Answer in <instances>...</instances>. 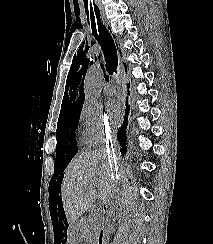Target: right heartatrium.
Masks as SVG:
<instances>
[{"label": "right heart atrium", "mask_w": 213, "mask_h": 244, "mask_svg": "<svg viewBox=\"0 0 213 244\" xmlns=\"http://www.w3.org/2000/svg\"><path fill=\"white\" fill-rule=\"evenodd\" d=\"M80 121L83 126L82 141L86 145L100 144L111 133L104 111L98 104L85 102L80 111Z\"/></svg>", "instance_id": "obj_1"}]
</instances>
